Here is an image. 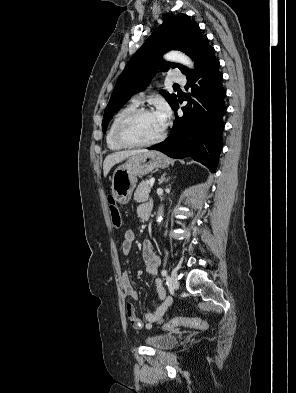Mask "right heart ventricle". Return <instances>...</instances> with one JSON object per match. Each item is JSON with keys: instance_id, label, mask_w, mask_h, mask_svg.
<instances>
[{"instance_id": "e07e8e85", "label": "right heart ventricle", "mask_w": 296, "mask_h": 393, "mask_svg": "<svg viewBox=\"0 0 296 393\" xmlns=\"http://www.w3.org/2000/svg\"><path fill=\"white\" fill-rule=\"evenodd\" d=\"M136 107H137V104L131 102L130 104H127V105L123 106L121 109H119L117 111V113L114 115V117L109 125V128L107 130V133H106V143H107V146L109 147V149L116 151V150H121V149L126 148L125 146L121 145L117 141L116 136H115L116 128H117V125L120 122V120L127 113H129L130 111H132Z\"/></svg>"}]
</instances>
